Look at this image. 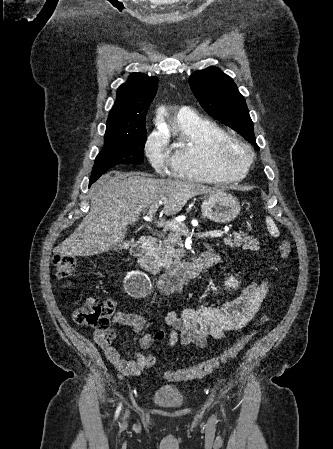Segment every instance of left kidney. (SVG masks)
Here are the masks:
<instances>
[{"label":"left kidney","mask_w":333,"mask_h":449,"mask_svg":"<svg viewBox=\"0 0 333 449\" xmlns=\"http://www.w3.org/2000/svg\"><path fill=\"white\" fill-rule=\"evenodd\" d=\"M238 280L236 278H234L233 276H231L230 278L227 279V281L225 282V285L228 287H233L236 288V286H238Z\"/></svg>","instance_id":"left-kidney-1"}]
</instances>
